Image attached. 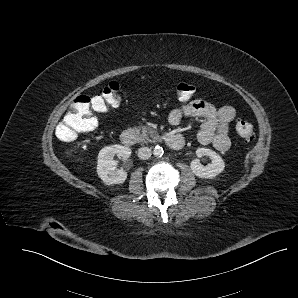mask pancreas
<instances>
[{"mask_svg": "<svg viewBox=\"0 0 298 298\" xmlns=\"http://www.w3.org/2000/svg\"><path fill=\"white\" fill-rule=\"evenodd\" d=\"M135 133L140 136L141 141H150V138H156L157 130L147 126H138Z\"/></svg>", "mask_w": 298, "mask_h": 298, "instance_id": "obj_1", "label": "pancreas"}]
</instances>
